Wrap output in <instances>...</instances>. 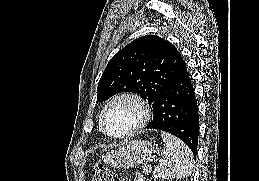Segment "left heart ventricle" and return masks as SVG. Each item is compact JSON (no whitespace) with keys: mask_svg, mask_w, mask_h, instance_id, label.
I'll return each mask as SVG.
<instances>
[{"mask_svg":"<svg viewBox=\"0 0 259 181\" xmlns=\"http://www.w3.org/2000/svg\"><path fill=\"white\" fill-rule=\"evenodd\" d=\"M139 120V110L130 101L113 104L105 116V126L112 134H122L133 128Z\"/></svg>","mask_w":259,"mask_h":181,"instance_id":"left-heart-ventricle-1","label":"left heart ventricle"}]
</instances>
